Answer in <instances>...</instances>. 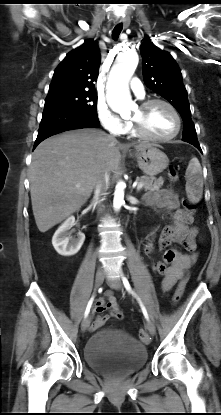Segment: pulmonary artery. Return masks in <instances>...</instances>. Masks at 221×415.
<instances>
[{
	"instance_id": "1",
	"label": "pulmonary artery",
	"mask_w": 221,
	"mask_h": 415,
	"mask_svg": "<svg viewBox=\"0 0 221 415\" xmlns=\"http://www.w3.org/2000/svg\"><path fill=\"white\" fill-rule=\"evenodd\" d=\"M131 89L137 97L143 98L145 95L144 87L142 82L138 78H133L130 82Z\"/></svg>"
}]
</instances>
